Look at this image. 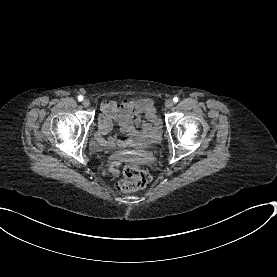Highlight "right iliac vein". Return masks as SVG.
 Listing matches in <instances>:
<instances>
[{
    "mask_svg": "<svg viewBox=\"0 0 277 277\" xmlns=\"http://www.w3.org/2000/svg\"><path fill=\"white\" fill-rule=\"evenodd\" d=\"M84 107H89L90 106V101L88 99H84L82 102Z\"/></svg>",
    "mask_w": 277,
    "mask_h": 277,
    "instance_id": "obj_1",
    "label": "right iliac vein"
}]
</instances>
